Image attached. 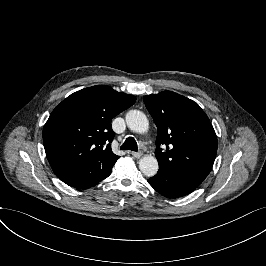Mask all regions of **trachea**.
<instances>
[{
	"label": "trachea",
	"mask_w": 266,
	"mask_h": 266,
	"mask_svg": "<svg viewBox=\"0 0 266 266\" xmlns=\"http://www.w3.org/2000/svg\"><path fill=\"white\" fill-rule=\"evenodd\" d=\"M121 150H131V151H137V143L133 137H128L124 144L120 147Z\"/></svg>",
	"instance_id": "1"
}]
</instances>
